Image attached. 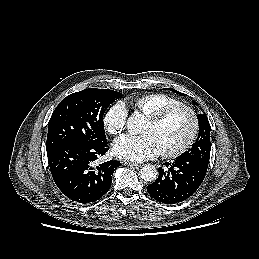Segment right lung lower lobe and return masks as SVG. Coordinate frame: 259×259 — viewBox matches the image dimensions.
Wrapping results in <instances>:
<instances>
[{"mask_svg":"<svg viewBox=\"0 0 259 259\" xmlns=\"http://www.w3.org/2000/svg\"><path fill=\"white\" fill-rule=\"evenodd\" d=\"M107 151V144L97 147L64 144L47 151L52 177L61 192L83 204L96 201L107 193L120 162L110 160L93 168V162Z\"/></svg>","mask_w":259,"mask_h":259,"instance_id":"1","label":"right lung lower lobe"}]
</instances>
